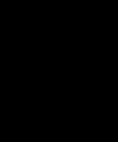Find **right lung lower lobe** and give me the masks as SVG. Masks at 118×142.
<instances>
[{"label":"right lung lower lobe","instance_id":"obj_1","mask_svg":"<svg viewBox=\"0 0 118 142\" xmlns=\"http://www.w3.org/2000/svg\"><path fill=\"white\" fill-rule=\"evenodd\" d=\"M39 117V112L36 109L33 114L28 116L26 119H24L19 125H17L16 131L9 130L4 131L6 132L5 134L7 135L4 139L6 142H19L21 139H23L29 132L30 130L35 126L37 119ZM4 134V135H5Z\"/></svg>","mask_w":118,"mask_h":142}]
</instances>
